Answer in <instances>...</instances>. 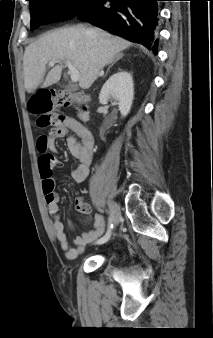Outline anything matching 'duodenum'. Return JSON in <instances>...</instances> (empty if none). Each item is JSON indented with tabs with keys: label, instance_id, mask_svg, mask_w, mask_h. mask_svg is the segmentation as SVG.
Segmentation results:
<instances>
[{
	"label": "duodenum",
	"instance_id": "obj_1",
	"mask_svg": "<svg viewBox=\"0 0 213 338\" xmlns=\"http://www.w3.org/2000/svg\"><path fill=\"white\" fill-rule=\"evenodd\" d=\"M79 118L83 121H88L90 119V114L87 109L79 108L78 110Z\"/></svg>",
	"mask_w": 213,
	"mask_h": 338
}]
</instances>
